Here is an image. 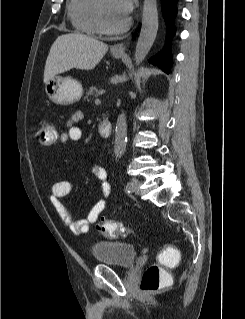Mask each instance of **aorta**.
<instances>
[{"label":"aorta","instance_id":"aorta-1","mask_svg":"<svg viewBox=\"0 0 245 319\" xmlns=\"http://www.w3.org/2000/svg\"><path fill=\"white\" fill-rule=\"evenodd\" d=\"M158 31L157 0H144L142 26L135 49V63L139 66L148 55ZM131 94V92H130ZM127 124L126 115L122 112L117 119L115 127L114 154L120 158L126 150Z\"/></svg>","mask_w":245,"mask_h":319}]
</instances>
